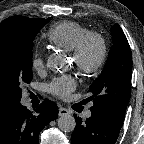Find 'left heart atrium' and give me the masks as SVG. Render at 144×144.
I'll list each match as a JSON object with an SVG mask.
<instances>
[{
  "label": "left heart atrium",
  "instance_id": "39dd6f15",
  "mask_svg": "<svg viewBox=\"0 0 144 144\" xmlns=\"http://www.w3.org/2000/svg\"><path fill=\"white\" fill-rule=\"evenodd\" d=\"M75 87V79L71 76H65L53 80L48 86V89L53 95L65 99Z\"/></svg>",
  "mask_w": 144,
  "mask_h": 144
}]
</instances>
